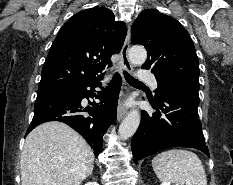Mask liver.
<instances>
[{
  "instance_id": "1",
  "label": "liver",
  "mask_w": 233,
  "mask_h": 185,
  "mask_svg": "<svg viewBox=\"0 0 233 185\" xmlns=\"http://www.w3.org/2000/svg\"><path fill=\"white\" fill-rule=\"evenodd\" d=\"M93 163V150L82 136L62 122H46L25 139L21 185H80Z\"/></svg>"
}]
</instances>
